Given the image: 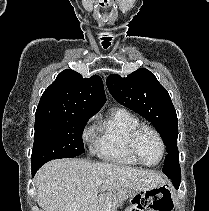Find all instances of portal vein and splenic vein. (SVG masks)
Returning a JSON list of instances; mask_svg holds the SVG:
<instances>
[{
  "label": "portal vein and splenic vein",
  "instance_id": "18ae733b",
  "mask_svg": "<svg viewBox=\"0 0 209 211\" xmlns=\"http://www.w3.org/2000/svg\"><path fill=\"white\" fill-rule=\"evenodd\" d=\"M101 184H102V181H101V180H97V181H96V185H97V186H100Z\"/></svg>",
  "mask_w": 209,
  "mask_h": 211
}]
</instances>
